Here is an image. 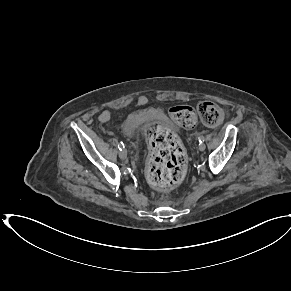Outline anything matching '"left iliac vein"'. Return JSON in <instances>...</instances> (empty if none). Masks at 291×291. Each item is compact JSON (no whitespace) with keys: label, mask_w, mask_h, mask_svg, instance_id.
<instances>
[{"label":"left iliac vein","mask_w":291,"mask_h":291,"mask_svg":"<svg viewBox=\"0 0 291 291\" xmlns=\"http://www.w3.org/2000/svg\"><path fill=\"white\" fill-rule=\"evenodd\" d=\"M205 148H206V145H205L204 143H200L199 146H198V149H199L200 151H204Z\"/></svg>","instance_id":"1"}]
</instances>
